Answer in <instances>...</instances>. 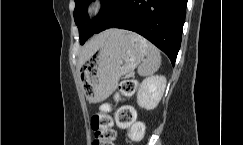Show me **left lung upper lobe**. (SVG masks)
<instances>
[{
	"label": "left lung upper lobe",
	"instance_id": "5c2ea615",
	"mask_svg": "<svg viewBox=\"0 0 243 145\" xmlns=\"http://www.w3.org/2000/svg\"><path fill=\"white\" fill-rule=\"evenodd\" d=\"M92 0H75V10H74V20L79 29L80 44L89 38L91 33L90 25L83 26L85 22L88 21V16L86 14L87 6ZM102 9L100 13H114V11L121 5L123 0H101ZM99 13V14H100ZM98 14V15H99Z\"/></svg>",
	"mask_w": 243,
	"mask_h": 145
}]
</instances>
